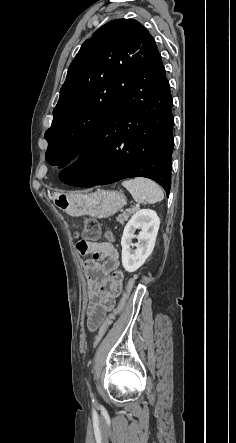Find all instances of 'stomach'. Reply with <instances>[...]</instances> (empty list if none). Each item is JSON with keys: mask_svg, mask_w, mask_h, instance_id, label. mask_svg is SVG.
Instances as JSON below:
<instances>
[{"mask_svg": "<svg viewBox=\"0 0 236 443\" xmlns=\"http://www.w3.org/2000/svg\"><path fill=\"white\" fill-rule=\"evenodd\" d=\"M126 203V197L114 190L98 189L89 194H56L54 204L71 215H91L106 218L118 212Z\"/></svg>", "mask_w": 236, "mask_h": 443, "instance_id": "stomach-1", "label": "stomach"}]
</instances>
